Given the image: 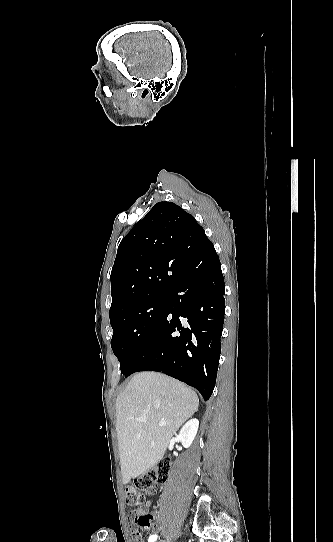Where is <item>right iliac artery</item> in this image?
Returning <instances> with one entry per match:
<instances>
[{
	"instance_id": "obj_1",
	"label": "right iliac artery",
	"mask_w": 333,
	"mask_h": 542,
	"mask_svg": "<svg viewBox=\"0 0 333 542\" xmlns=\"http://www.w3.org/2000/svg\"><path fill=\"white\" fill-rule=\"evenodd\" d=\"M156 539H157V535H152V536L149 537L148 542H154V541H156Z\"/></svg>"
}]
</instances>
